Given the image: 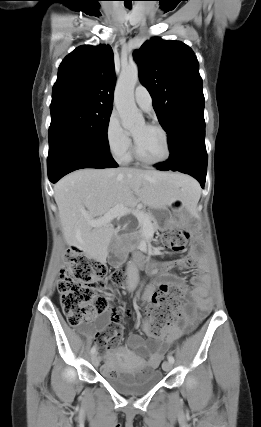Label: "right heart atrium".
<instances>
[{"label": "right heart atrium", "mask_w": 261, "mask_h": 427, "mask_svg": "<svg viewBox=\"0 0 261 427\" xmlns=\"http://www.w3.org/2000/svg\"><path fill=\"white\" fill-rule=\"evenodd\" d=\"M105 140L109 152L118 161H126L129 158L132 142L130 134L122 127L115 112L108 117L105 127Z\"/></svg>", "instance_id": "1"}]
</instances>
